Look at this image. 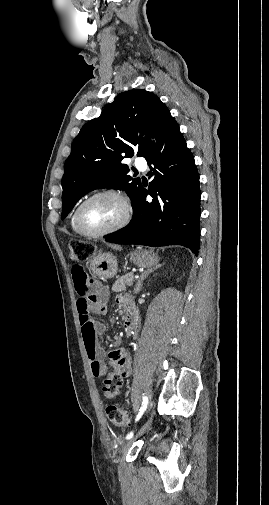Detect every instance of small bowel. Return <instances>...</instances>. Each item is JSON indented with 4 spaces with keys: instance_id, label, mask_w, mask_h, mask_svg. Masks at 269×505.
I'll use <instances>...</instances> for the list:
<instances>
[{
    "instance_id": "small-bowel-1",
    "label": "small bowel",
    "mask_w": 269,
    "mask_h": 505,
    "mask_svg": "<svg viewBox=\"0 0 269 505\" xmlns=\"http://www.w3.org/2000/svg\"><path fill=\"white\" fill-rule=\"evenodd\" d=\"M72 276L74 280V292L77 297V311L82 329V336L90 361L91 371L95 377H101L106 372L105 352L99 346L97 337L104 333L105 326L96 323L92 315H103L105 307V292L100 291L98 298L93 295L90 288L89 275L85 268L80 264L72 265ZM125 302H130L125 296L118 297V303L123 306ZM109 364L113 367L114 373L121 379L127 378L132 374V360L125 348L114 349L108 354Z\"/></svg>"
}]
</instances>
